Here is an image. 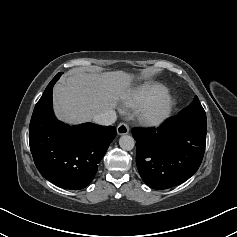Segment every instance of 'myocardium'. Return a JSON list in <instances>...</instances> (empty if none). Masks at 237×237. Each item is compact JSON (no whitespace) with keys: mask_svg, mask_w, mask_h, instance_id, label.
<instances>
[{"mask_svg":"<svg viewBox=\"0 0 237 237\" xmlns=\"http://www.w3.org/2000/svg\"><path fill=\"white\" fill-rule=\"evenodd\" d=\"M175 105L174 98L166 94L145 104L138 113V120L148 127L162 125L170 116Z\"/></svg>","mask_w":237,"mask_h":237,"instance_id":"f54148a6","label":"myocardium"}]
</instances>
